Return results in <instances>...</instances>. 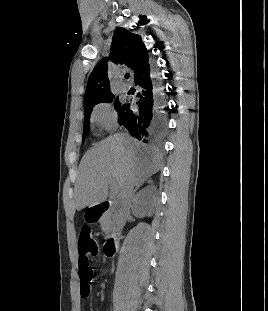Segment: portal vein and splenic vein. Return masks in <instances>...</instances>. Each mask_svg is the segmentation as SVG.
Returning <instances> with one entry per match:
<instances>
[{"label":"portal vein and splenic vein","mask_w":268,"mask_h":311,"mask_svg":"<svg viewBox=\"0 0 268 311\" xmlns=\"http://www.w3.org/2000/svg\"><path fill=\"white\" fill-rule=\"evenodd\" d=\"M110 187H111L112 192L117 191V187H116V184L114 182H111Z\"/></svg>","instance_id":"obj_1"}]
</instances>
